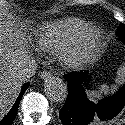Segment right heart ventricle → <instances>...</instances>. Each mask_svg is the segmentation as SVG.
Segmentation results:
<instances>
[{"label":"right heart ventricle","mask_w":125,"mask_h":125,"mask_svg":"<svg viewBox=\"0 0 125 125\" xmlns=\"http://www.w3.org/2000/svg\"><path fill=\"white\" fill-rule=\"evenodd\" d=\"M89 24L78 18H68L49 23L41 28L36 36V45L47 52H60L76 35Z\"/></svg>","instance_id":"obj_1"}]
</instances>
